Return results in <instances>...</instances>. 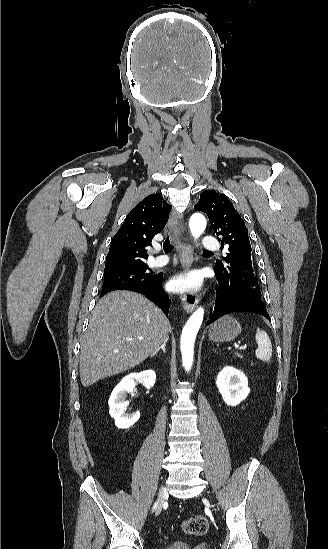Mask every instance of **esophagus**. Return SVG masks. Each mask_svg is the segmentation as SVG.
Returning <instances> with one entry per match:
<instances>
[{
    "label": "esophagus",
    "mask_w": 328,
    "mask_h": 549,
    "mask_svg": "<svg viewBox=\"0 0 328 549\" xmlns=\"http://www.w3.org/2000/svg\"><path fill=\"white\" fill-rule=\"evenodd\" d=\"M169 228L173 237L178 240V248L180 251V262L183 273H188L193 263V250L189 243L181 242L183 226L180 222L171 217ZM181 305L186 312H192L199 302V297L193 291H184L180 295Z\"/></svg>",
    "instance_id": "esophagus-1"
}]
</instances>
